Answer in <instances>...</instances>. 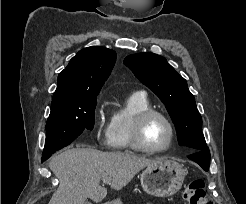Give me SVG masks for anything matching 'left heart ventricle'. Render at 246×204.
<instances>
[{
    "mask_svg": "<svg viewBox=\"0 0 246 204\" xmlns=\"http://www.w3.org/2000/svg\"><path fill=\"white\" fill-rule=\"evenodd\" d=\"M170 131L163 119L152 117L145 125L143 141L150 148H161L169 140Z\"/></svg>",
    "mask_w": 246,
    "mask_h": 204,
    "instance_id": "1",
    "label": "left heart ventricle"
}]
</instances>
